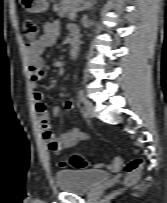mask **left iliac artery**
<instances>
[{
    "instance_id": "1",
    "label": "left iliac artery",
    "mask_w": 167,
    "mask_h": 203,
    "mask_svg": "<svg viewBox=\"0 0 167 203\" xmlns=\"http://www.w3.org/2000/svg\"><path fill=\"white\" fill-rule=\"evenodd\" d=\"M78 98H79V101L81 103H84L86 101V98H85L84 93H83L82 90H79V92H78Z\"/></svg>"
}]
</instances>
